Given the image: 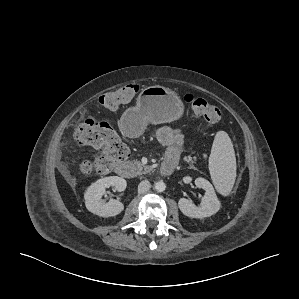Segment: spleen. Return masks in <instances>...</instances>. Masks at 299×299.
<instances>
[{"mask_svg":"<svg viewBox=\"0 0 299 299\" xmlns=\"http://www.w3.org/2000/svg\"><path fill=\"white\" fill-rule=\"evenodd\" d=\"M209 171L216 189L228 195L235 183L236 157L230 137L225 131L217 132L209 157Z\"/></svg>","mask_w":299,"mask_h":299,"instance_id":"3e777b00","label":"spleen"}]
</instances>
